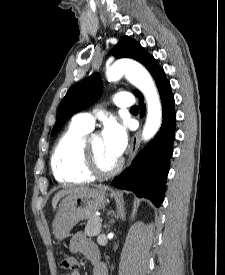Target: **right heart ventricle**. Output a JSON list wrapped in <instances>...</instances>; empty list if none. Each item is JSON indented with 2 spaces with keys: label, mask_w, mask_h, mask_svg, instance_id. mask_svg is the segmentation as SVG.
I'll return each mask as SVG.
<instances>
[{
  "label": "right heart ventricle",
  "mask_w": 225,
  "mask_h": 275,
  "mask_svg": "<svg viewBox=\"0 0 225 275\" xmlns=\"http://www.w3.org/2000/svg\"><path fill=\"white\" fill-rule=\"evenodd\" d=\"M89 131L72 123L57 140L51 156V168L60 183L82 184L93 179L82 166V144Z\"/></svg>",
  "instance_id": "obj_1"
}]
</instances>
